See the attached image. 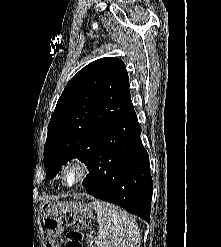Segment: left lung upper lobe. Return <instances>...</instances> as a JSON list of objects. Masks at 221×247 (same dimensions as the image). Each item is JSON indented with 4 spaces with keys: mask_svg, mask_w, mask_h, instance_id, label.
Wrapping results in <instances>:
<instances>
[{
    "mask_svg": "<svg viewBox=\"0 0 221 247\" xmlns=\"http://www.w3.org/2000/svg\"><path fill=\"white\" fill-rule=\"evenodd\" d=\"M132 113L129 77L121 60L105 57L81 69L65 87L48 125L47 179L73 158L88 165L107 128Z\"/></svg>",
    "mask_w": 221,
    "mask_h": 247,
    "instance_id": "left-lung-upper-lobe-1",
    "label": "left lung upper lobe"
}]
</instances>
